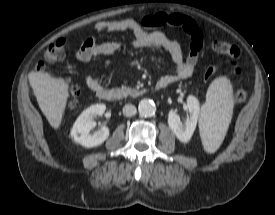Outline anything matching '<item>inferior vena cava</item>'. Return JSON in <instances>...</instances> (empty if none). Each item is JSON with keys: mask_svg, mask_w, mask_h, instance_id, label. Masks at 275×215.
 <instances>
[{"mask_svg": "<svg viewBox=\"0 0 275 215\" xmlns=\"http://www.w3.org/2000/svg\"><path fill=\"white\" fill-rule=\"evenodd\" d=\"M136 112H137L136 107L132 104H126L123 107V114L125 116H133L136 114Z\"/></svg>", "mask_w": 275, "mask_h": 215, "instance_id": "602c4592", "label": "inferior vena cava"}]
</instances>
